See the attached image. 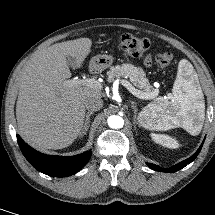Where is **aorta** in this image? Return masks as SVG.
<instances>
[{
    "instance_id": "obj_1",
    "label": "aorta",
    "mask_w": 215,
    "mask_h": 215,
    "mask_svg": "<svg viewBox=\"0 0 215 215\" xmlns=\"http://www.w3.org/2000/svg\"><path fill=\"white\" fill-rule=\"evenodd\" d=\"M108 125L110 128L118 129L124 125V120L118 115H112L108 118Z\"/></svg>"
}]
</instances>
